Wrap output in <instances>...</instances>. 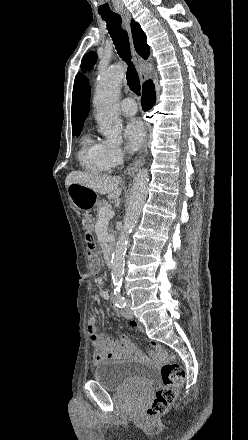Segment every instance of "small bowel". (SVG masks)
<instances>
[{
    "instance_id": "obj_1",
    "label": "small bowel",
    "mask_w": 248,
    "mask_h": 440,
    "mask_svg": "<svg viewBox=\"0 0 248 440\" xmlns=\"http://www.w3.org/2000/svg\"><path fill=\"white\" fill-rule=\"evenodd\" d=\"M104 298L107 299L108 297L104 295ZM116 313L118 314V312ZM130 325L139 332H143V327L138 322L130 321ZM87 328L92 344V364L94 366L104 361L117 360L126 356L140 357V353L127 336H121L117 339L101 332L98 329L95 316L88 319ZM147 344L154 347L157 358L164 356L163 348L156 343L155 339H148Z\"/></svg>"
}]
</instances>
